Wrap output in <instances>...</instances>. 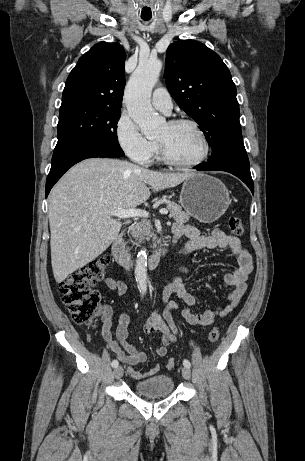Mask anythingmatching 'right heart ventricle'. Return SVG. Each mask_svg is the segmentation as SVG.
Instances as JSON below:
<instances>
[{
  "instance_id": "obj_1",
  "label": "right heart ventricle",
  "mask_w": 305,
  "mask_h": 461,
  "mask_svg": "<svg viewBox=\"0 0 305 461\" xmlns=\"http://www.w3.org/2000/svg\"><path fill=\"white\" fill-rule=\"evenodd\" d=\"M154 154H156V156H159V148H158V145H157V144H156V148H155Z\"/></svg>"
}]
</instances>
